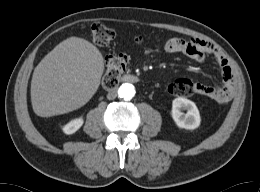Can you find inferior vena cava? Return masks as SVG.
I'll return each instance as SVG.
<instances>
[{
	"label": "inferior vena cava",
	"mask_w": 260,
	"mask_h": 192,
	"mask_svg": "<svg viewBox=\"0 0 260 192\" xmlns=\"http://www.w3.org/2000/svg\"><path fill=\"white\" fill-rule=\"evenodd\" d=\"M117 97V91L116 90H112L108 93L107 95V99L109 100H113Z\"/></svg>",
	"instance_id": "obj_1"
}]
</instances>
